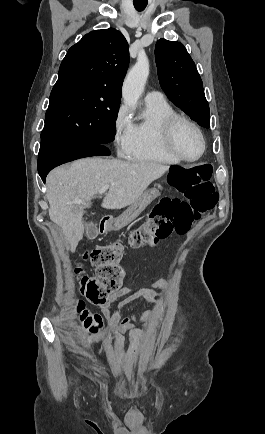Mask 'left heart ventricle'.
I'll return each mask as SVG.
<instances>
[{"mask_svg":"<svg viewBox=\"0 0 265 434\" xmlns=\"http://www.w3.org/2000/svg\"><path fill=\"white\" fill-rule=\"evenodd\" d=\"M180 153L188 159L198 157L202 151V143L197 133L187 125H181L176 136Z\"/></svg>","mask_w":265,"mask_h":434,"instance_id":"b2bd125f","label":"left heart ventricle"}]
</instances>
